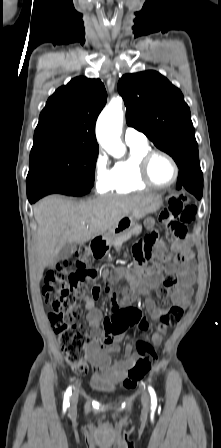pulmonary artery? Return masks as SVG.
I'll return each instance as SVG.
<instances>
[{"label": "pulmonary artery", "mask_w": 221, "mask_h": 448, "mask_svg": "<svg viewBox=\"0 0 221 448\" xmlns=\"http://www.w3.org/2000/svg\"><path fill=\"white\" fill-rule=\"evenodd\" d=\"M124 141L127 145H143L147 143V137L144 133L133 127H127L124 132Z\"/></svg>", "instance_id": "obj_1"}]
</instances>
